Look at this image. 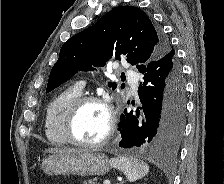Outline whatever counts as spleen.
<instances>
[{
  "label": "spleen",
  "instance_id": "obj_1",
  "mask_svg": "<svg viewBox=\"0 0 224 184\" xmlns=\"http://www.w3.org/2000/svg\"><path fill=\"white\" fill-rule=\"evenodd\" d=\"M110 164L122 171L130 182L144 177L149 172V166L144 161L136 158H111Z\"/></svg>",
  "mask_w": 224,
  "mask_h": 184
}]
</instances>
